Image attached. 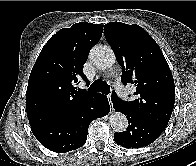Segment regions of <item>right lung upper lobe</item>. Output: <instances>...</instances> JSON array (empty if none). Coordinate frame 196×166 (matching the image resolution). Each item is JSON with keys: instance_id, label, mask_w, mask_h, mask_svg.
<instances>
[{"instance_id": "1", "label": "right lung upper lobe", "mask_w": 196, "mask_h": 166, "mask_svg": "<svg viewBox=\"0 0 196 166\" xmlns=\"http://www.w3.org/2000/svg\"><path fill=\"white\" fill-rule=\"evenodd\" d=\"M103 25L80 22L49 39L30 73L26 111L31 127L65 119L99 93L74 87L82 78L89 51L101 38Z\"/></svg>"}]
</instances>
